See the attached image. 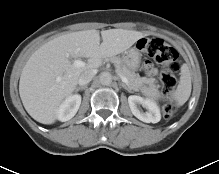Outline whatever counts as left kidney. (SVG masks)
Here are the masks:
<instances>
[{"mask_svg":"<svg viewBox=\"0 0 219 174\" xmlns=\"http://www.w3.org/2000/svg\"><path fill=\"white\" fill-rule=\"evenodd\" d=\"M129 107L132 114L145 123H157L161 119L160 109L157 104L151 100L144 99L140 96L131 95L128 97ZM138 105L146 108V112H142Z\"/></svg>","mask_w":219,"mask_h":174,"instance_id":"1","label":"left kidney"}]
</instances>
